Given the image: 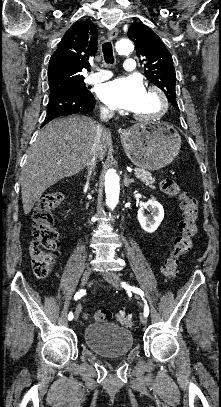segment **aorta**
Listing matches in <instances>:
<instances>
[{"instance_id": "762f6f07", "label": "aorta", "mask_w": 221, "mask_h": 407, "mask_svg": "<svg viewBox=\"0 0 221 407\" xmlns=\"http://www.w3.org/2000/svg\"><path fill=\"white\" fill-rule=\"evenodd\" d=\"M116 51L119 54H129L133 51V44L129 39H121L116 43ZM119 177L115 170L110 169L105 175V193L106 204L109 208L114 209L119 200Z\"/></svg>"}]
</instances>
